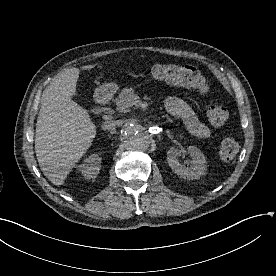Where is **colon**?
<instances>
[{"label":"colon","instance_id":"colon-1","mask_svg":"<svg viewBox=\"0 0 276 276\" xmlns=\"http://www.w3.org/2000/svg\"><path fill=\"white\" fill-rule=\"evenodd\" d=\"M152 76L162 82L185 86L201 93L208 90V83L200 70L187 64H157L151 69ZM208 121L214 126L223 125L228 119L227 108L217 102L207 106ZM239 151V143L232 137H224L220 143L219 153L224 160L233 159Z\"/></svg>","mask_w":276,"mask_h":276}]
</instances>
